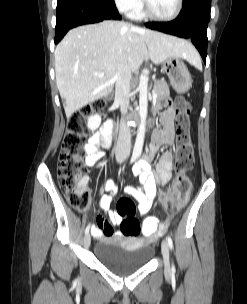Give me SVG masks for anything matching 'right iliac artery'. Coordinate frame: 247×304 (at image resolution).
<instances>
[{
    "label": "right iliac artery",
    "instance_id": "right-iliac-artery-1",
    "mask_svg": "<svg viewBox=\"0 0 247 304\" xmlns=\"http://www.w3.org/2000/svg\"><path fill=\"white\" fill-rule=\"evenodd\" d=\"M134 160H135V157H132L130 163H132ZM89 228H90V225H88V226L86 227V229H85V235L88 234Z\"/></svg>",
    "mask_w": 247,
    "mask_h": 304
}]
</instances>
